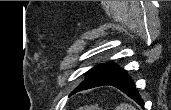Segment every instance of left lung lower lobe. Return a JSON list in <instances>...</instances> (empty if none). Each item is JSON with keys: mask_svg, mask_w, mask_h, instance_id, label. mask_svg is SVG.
<instances>
[{"mask_svg": "<svg viewBox=\"0 0 171 110\" xmlns=\"http://www.w3.org/2000/svg\"><path fill=\"white\" fill-rule=\"evenodd\" d=\"M111 85L126 95L135 100L141 107H144V102L141 99L139 93L136 91V86L134 82L129 77L126 71H123L119 67H115L107 72L103 73L96 79L80 84L71 94H74L81 90H86L89 88H94L98 86Z\"/></svg>", "mask_w": 171, "mask_h": 110, "instance_id": "1", "label": "left lung lower lobe"}]
</instances>
